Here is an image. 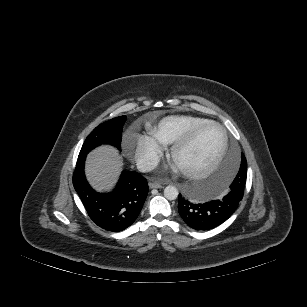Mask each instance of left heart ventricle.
I'll return each instance as SVG.
<instances>
[{
	"instance_id": "left-heart-ventricle-1",
	"label": "left heart ventricle",
	"mask_w": 307,
	"mask_h": 307,
	"mask_svg": "<svg viewBox=\"0 0 307 307\" xmlns=\"http://www.w3.org/2000/svg\"><path fill=\"white\" fill-rule=\"evenodd\" d=\"M222 144V133L216 126L201 130L194 140L175 157L174 163L180 170H196L207 166Z\"/></svg>"
}]
</instances>
